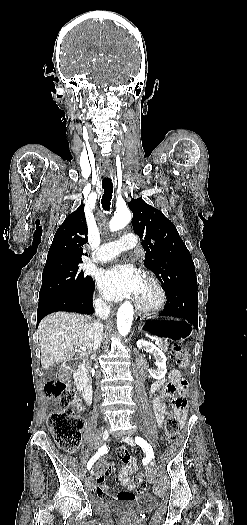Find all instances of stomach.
Here are the masks:
<instances>
[{
  "instance_id": "obj_1",
  "label": "stomach",
  "mask_w": 247,
  "mask_h": 525,
  "mask_svg": "<svg viewBox=\"0 0 247 525\" xmlns=\"http://www.w3.org/2000/svg\"><path fill=\"white\" fill-rule=\"evenodd\" d=\"M139 329L151 338L180 342L190 334V326L173 317H152L142 321Z\"/></svg>"
}]
</instances>
